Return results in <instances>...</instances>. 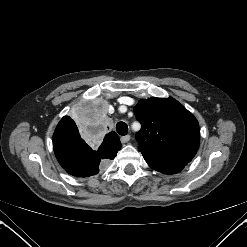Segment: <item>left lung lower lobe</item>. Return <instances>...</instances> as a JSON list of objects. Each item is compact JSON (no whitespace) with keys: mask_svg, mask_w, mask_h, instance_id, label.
<instances>
[{"mask_svg":"<svg viewBox=\"0 0 247 247\" xmlns=\"http://www.w3.org/2000/svg\"><path fill=\"white\" fill-rule=\"evenodd\" d=\"M145 161L154 170L165 174H174L180 172L187 164V163H179V162L154 161V160H146V159Z\"/></svg>","mask_w":247,"mask_h":247,"instance_id":"1","label":"left lung lower lobe"}]
</instances>
